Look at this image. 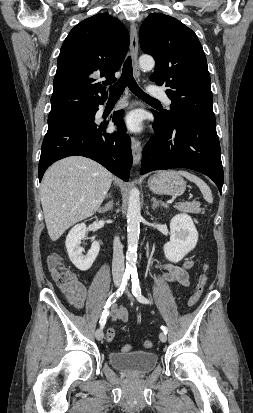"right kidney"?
Segmentation results:
<instances>
[{
  "mask_svg": "<svg viewBox=\"0 0 253 413\" xmlns=\"http://www.w3.org/2000/svg\"><path fill=\"white\" fill-rule=\"evenodd\" d=\"M85 237L86 225L81 223L69 231L65 242L70 261L81 271H87L92 266L100 250V244L93 241L88 253L83 255L80 242Z\"/></svg>",
  "mask_w": 253,
  "mask_h": 413,
  "instance_id": "1",
  "label": "right kidney"
}]
</instances>
